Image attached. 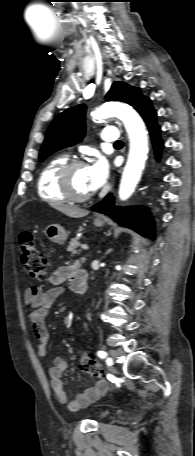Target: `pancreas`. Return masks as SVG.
Segmentation results:
<instances>
[{"label":"pancreas","instance_id":"obj_1","mask_svg":"<svg viewBox=\"0 0 195 456\" xmlns=\"http://www.w3.org/2000/svg\"><path fill=\"white\" fill-rule=\"evenodd\" d=\"M79 246H80L79 238H72L67 247V251L73 255L78 254L80 252V250H77V248Z\"/></svg>","mask_w":195,"mask_h":456}]
</instances>
